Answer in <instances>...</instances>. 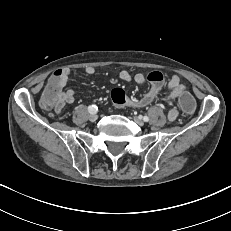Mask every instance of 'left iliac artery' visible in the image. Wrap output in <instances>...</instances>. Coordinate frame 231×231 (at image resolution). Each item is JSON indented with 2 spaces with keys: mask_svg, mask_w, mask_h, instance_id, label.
Returning <instances> with one entry per match:
<instances>
[{
  "mask_svg": "<svg viewBox=\"0 0 231 231\" xmlns=\"http://www.w3.org/2000/svg\"><path fill=\"white\" fill-rule=\"evenodd\" d=\"M143 120H144L145 122H148V121H149V117H148V116H144V117H143Z\"/></svg>",
  "mask_w": 231,
  "mask_h": 231,
  "instance_id": "obj_1",
  "label": "left iliac artery"
}]
</instances>
